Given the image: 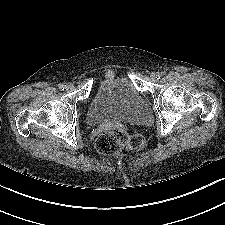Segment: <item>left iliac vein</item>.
<instances>
[{"mask_svg": "<svg viewBox=\"0 0 225 225\" xmlns=\"http://www.w3.org/2000/svg\"><path fill=\"white\" fill-rule=\"evenodd\" d=\"M150 77H151L152 80H156V79H158L160 77V73H158V72H152L150 74Z\"/></svg>", "mask_w": 225, "mask_h": 225, "instance_id": "1", "label": "left iliac vein"}]
</instances>
